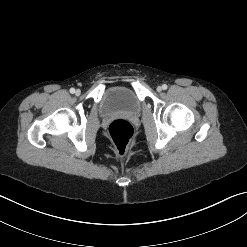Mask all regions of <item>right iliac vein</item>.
Segmentation results:
<instances>
[{
	"mask_svg": "<svg viewBox=\"0 0 247 247\" xmlns=\"http://www.w3.org/2000/svg\"><path fill=\"white\" fill-rule=\"evenodd\" d=\"M76 95H80L81 94V91L79 89L76 90L75 92Z\"/></svg>",
	"mask_w": 247,
	"mask_h": 247,
	"instance_id": "obj_1",
	"label": "right iliac vein"
}]
</instances>
